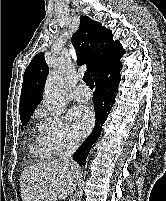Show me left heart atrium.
<instances>
[{"mask_svg": "<svg viewBox=\"0 0 166 201\" xmlns=\"http://www.w3.org/2000/svg\"><path fill=\"white\" fill-rule=\"evenodd\" d=\"M70 123L76 137H84L93 127L94 115L86 106H76L70 112Z\"/></svg>", "mask_w": 166, "mask_h": 201, "instance_id": "1", "label": "left heart atrium"}]
</instances>
